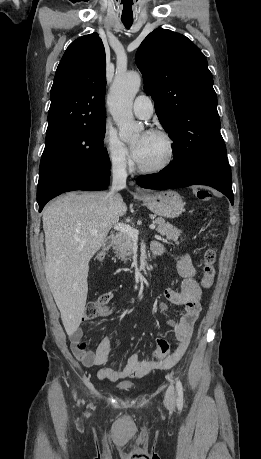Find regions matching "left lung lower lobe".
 <instances>
[{
	"instance_id": "1",
	"label": "left lung lower lobe",
	"mask_w": 261,
	"mask_h": 459,
	"mask_svg": "<svg viewBox=\"0 0 261 459\" xmlns=\"http://www.w3.org/2000/svg\"><path fill=\"white\" fill-rule=\"evenodd\" d=\"M137 184L148 189L181 188L190 185H207L226 195L233 204L231 168L226 153L203 158L186 171L169 165L158 174L141 176Z\"/></svg>"
}]
</instances>
